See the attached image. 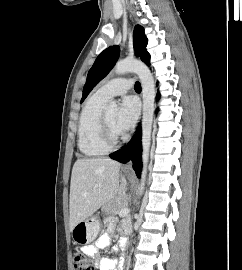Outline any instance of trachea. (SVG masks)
Masks as SVG:
<instances>
[{"mask_svg":"<svg viewBox=\"0 0 242 270\" xmlns=\"http://www.w3.org/2000/svg\"><path fill=\"white\" fill-rule=\"evenodd\" d=\"M135 90L140 92L141 91V84L139 82L135 83Z\"/></svg>","mask_w":242,"mask_h":270,"instance_id":"1","label":"trachea"}]
</instances>
